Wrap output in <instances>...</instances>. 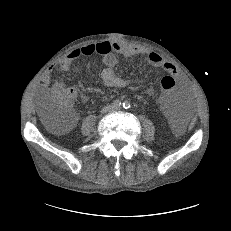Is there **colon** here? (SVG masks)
Segmentation results:
<instances>
[{"mask_svg": "<svg viewBox=\"0 0 231 231\" xmlns=\"http://www.w3.org/2000/svg\"><path fill=\"white\" fill-rule=\"evenodd\" d=\"M160 88L165 92L172 91L176 81L171 75H164L159 81ZM75 91L72 88L57 87L51 94L43 108L42 115L46 126L54 132L68 129L74 122L75 115L71 109Z\"/></svg>", "mask_w": 231, "mask_h": 231, "instance_id": "obj_1", "label": "colon"}]
</instances>
